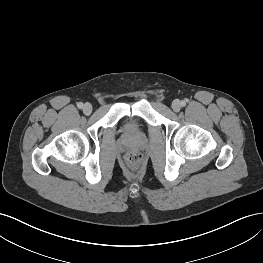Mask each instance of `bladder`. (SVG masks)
<instances>
[{
    "label": "bladder",
    "instance_id": "31cf9c89",
    "mask_svg": "<svg viewBox=\"0 0 263 263\" xmlns=\"http://www.w3.org/2000/svg\"><path fill=\"white\" fill-rule=\"evenodd\" d=\"M137 124H138V119L135 118V117H132V118H130V119H128V120L126 121L125 126H126L127 128H132V127L136 126Z\"/></svg>",
    "mask_w": 263,
    "mask_h": 263
}]
</instances>
